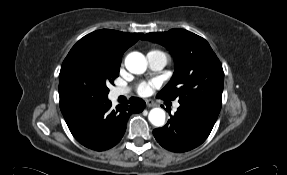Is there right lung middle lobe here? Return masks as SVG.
<instances>
[{"label":"right lung middle lobe","instance_id":"right-lung-middle-lobe-1","mask_svg":"<svg viewBox=\"0 0 287 175\" xmlns=\"http://www.w3.org/2000/svg\"><path fill=\"white\" fill-rule=\"evenodd\" d=\"M120 65L94 60L88 48L77 49L62 64L59 75L60 109L63 115L93 107L109 93L107 85L119 75Z\"/></svg>","mask_w":287,"mask_h":175}]
</instances>
